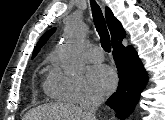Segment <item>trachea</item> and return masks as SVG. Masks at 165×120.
<instances>
[{"instance_id":"3493384b","label":"trachea","mask_w":165,"mask_h":120,"mask_svg":"<svg viewBox=\"0 0 165 120\" xmlns=\"http://www.w3.org/2000/svg\"><path fill=\"white\" fill-rule=\"evenodd\" d=\"M90 3L93 13V21L96 26L97 32L100 36L101 46L106 52H110L111 51L110 35L106 26L103 13L99 5L94 0H90Z\"/></svg>"}]
</instances>
